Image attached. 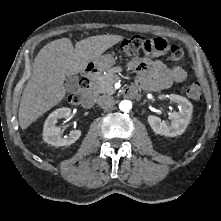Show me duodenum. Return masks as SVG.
<instances>
[{"label": "duodenum", "instance_id": "1", "mask_svg": "<svg viewBox=\"0 0 221 221\" xmlns=\"http://www.w3.org/2000/svg\"><path fill=\"white\" fill-rule=\"evenodd\" d=\"M97 71L98 70L94 64H89L85 69L84 77H83V81L87 85V88L84 93V99H83V105L85 107H91L93 105L94 99L89 88H90V84L92 80L97 74ZM137 92L138 90L135 87L131 86L125 90V95L128 97H134L137 95Z\"/></svg>", "mask_w": 221, "mask_h": 221}]
</instances>
